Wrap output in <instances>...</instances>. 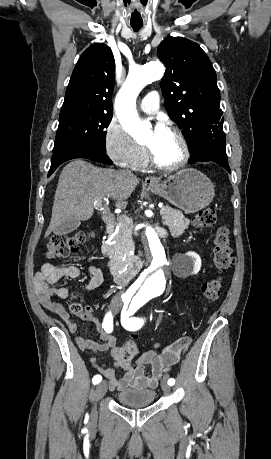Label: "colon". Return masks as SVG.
Listing matches in <instances>:
<instances>
[{
  "label": "colon",
  "instance_id": "1",
  "mask_svg": "<svg viewBox=\"0 0 271 459\" xmlns=\"http://www.w3.org/2000/svg\"><path fill=\"white\" fill-rule=\"evenodd\" d=\"M217 222V216L212 208L200 211L193 218L194 226L198 228L212 227ZM91 234L84 231H77L68 235H56L50 239L47 245V257L52 260H58L68 257L71 253L85 244ZM213 262L215 269L219 273H226L233 268L235 256L233 254L229 232L226 228L221 227L216 232L213 248ZM222 290L220 278H213L202 286L204 297L210 301L219 298ZM71 311L74 313H84L83 307L78 303L71 305ZM138 353L134 340H129L120 348L121 359L131 365L132 360Z\"/></svg>",
  "mask_w": 271,
  "mask_h": 459
}]
</instances>
